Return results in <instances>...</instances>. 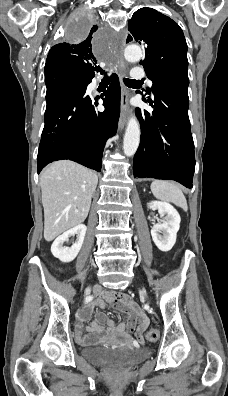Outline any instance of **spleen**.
<instances>
[{
	"label": "spleen",
	"instance_id": "3e777b00",
	"mask_svg": "<svg viewBox=\"0 0 228 396\" xmlns=\"http://www.w3.org/2000/svg\"><path fill=\"white\" fill-rule=\"evenodd\" d=\"M150 188L157 199L171 202L184 211L188 210L187 201L182 190L172 182L155 180L152 182Z\"/></svg>",
	"mask_w": 228,
	"mask_h": 396
}]
</instances>
